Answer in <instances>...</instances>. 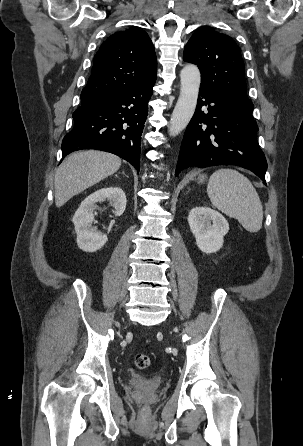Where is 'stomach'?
I'll use <instances>...</instances> for the list:
<instances>
[{
	"instance_id": "stomach-1",
	"label": "stomach",
	"mask_w": 303,
	"mask_h": 446,
	"mask_svg": "<svg viewBox=\"0 0 303 446\" xmlns=\"http://www.w3.org/2000/svg\"><path fill=\"white\" fill-rule=\"evenodd\" d=\"M204 178H205V176H200L198 179H199L200 181H203Z\"/></svg>"
}]
</instances>
